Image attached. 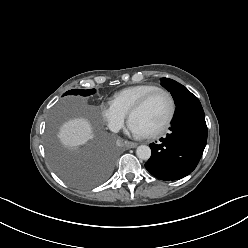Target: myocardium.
Here are the masks:
<instances>
[{
  "label": "myocardium",
  "mask_w": 248,
  "mask_h": 248,
  "mask_svg": "<svg viewBox=\"0 0 248 248\" xmlns=\"http://www.w3.org/2000/svg\"><path fill=\"white\" fill-rule=\"evenodd\" d=\"M157 94H163L168 102H169V113L168 116L166 118V120L164 121V123L155 131L146 134V137L148 138H157L161 135H163L171 126L172 121L175 117V113H176V103L174 100V97L172 96V94L167 91L166 89L163 88H156L148 93H146L144 96H142L129 110L128 112V117L129 120H131L132 115L140 110L141 108H143L155 95Z\"/></svg>",
  "instance_id": "f54148a6"
}]
</instances>
